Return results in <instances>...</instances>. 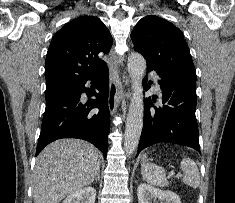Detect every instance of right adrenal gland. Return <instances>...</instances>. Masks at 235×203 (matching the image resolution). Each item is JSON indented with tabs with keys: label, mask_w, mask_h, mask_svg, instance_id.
<instances>
[{
	"label": "right adrenal gland",
	"mask_w": 235,
	"mask_h": 203,
	"mask_svg": "<svg viewBox=\"0 0 235 203\" xmlns=\"http://www.w3.org/2000/svg\"><path fill=\"white\" fill-rule=\"evenodd\" d=\"M96 181L100 180V174L97 175V177L95 178Z\"/></svg>",
	"instance_id": "1"
}]
</instances>
